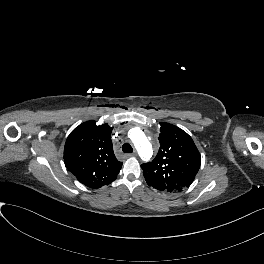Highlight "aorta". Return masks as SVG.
<instances>
[{
	"label": "aorta",
	"mask_w": 264,
	"mask_h": 264,
	"mask_svg": "<svg viewBox=\"0 0 264 264\" xmlns=\"http://www.w3.org/2000/svg\"><path fill=\"white\" fill-rule=\"evenodd\" d=\"M133 141L142 158L148 159L152 155V147L146 136L139 131L133 138Z\"/></svg>",
	"instance_id": "obj_1"
}]
</instances>
